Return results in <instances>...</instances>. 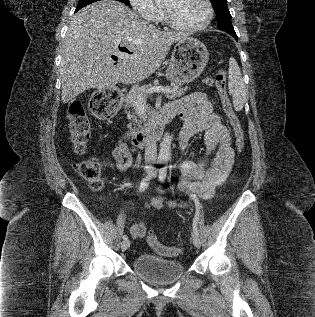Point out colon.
<instances>
[{"mask_svg":"<svg viewBox=\"0 0 315 317\" xmlns=\"http://www.w3.org/2000/svg\"><path fill=\"white\" fill-rule=\"evenodd\" d=\"M215 84L222 102L223 110L228 117L235 134V145L239 153L244 149L245 136L242 125L237 117L231 100L227 92L226 71L220 70L216 75ZM118 95L113 89H102L97 91L91 101L90 109L92 114L98 119H109L116 110ZM68 119L70 122L71 141L75 154L85 153L89 144L92 124L80 101H73L68 109ZM75 171L94 190L102 187L101 164L98 158L89 157L74 163ZM147 242L158 254L166 257H176L181 253V249L176 246H166L159 242L154 231L147 234Z\"/></svg>","mask_w":315,"mask_h":317,"instance_id":"1","label":"colon"}]
</instances>
